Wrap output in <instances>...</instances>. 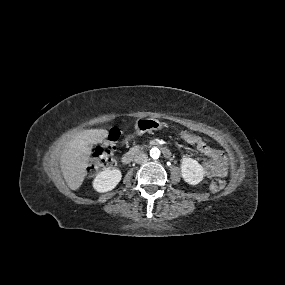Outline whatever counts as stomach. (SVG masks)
<instances>
[{"mask_svg": "<svg viewBox=\"0 0 285 285\" xmlns=\"http://www.w3.org/2000/svg\"><path fill=\"white\" fill-rule=\"evenodd\" d=\"M160 123L153 119H141L138 122L137 130L140 134L145 133L146 131L156 130L160 127Z\"/></svg>", "mask_w": 285, "mask_h": 285, "instance_id": "obj_1", "label": "stomach"}]
</instances>
